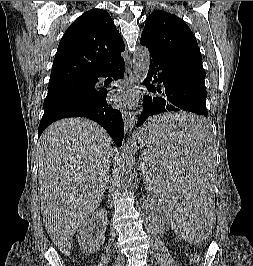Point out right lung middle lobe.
<instances>
[{"mask_svg":"<svg viewBox=\"0 0 253 266\" xmlns=\"http://www.w3.org/2000/svg\"><path fill=\"white\" fill-rule=\"evenodd\" d=\"M94 89L89 81L67 82L48 86L42 118L49 119L55 114L71 110L88 91Z\"/></svg>","mask_w":253,"mask_h":266,"instance_id":"obj_1","label":"right lung middle lobe"}]
</instances>
